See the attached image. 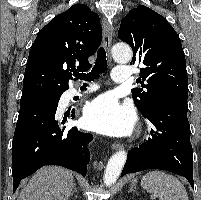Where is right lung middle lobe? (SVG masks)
I'll return each instance as SVG.
<instances>
[{
  "instance_id": "right-lung-middle-lobe-1",
  "label": "right lung middle lobe",
  "mask_w": 201,
  "mask_h": 200,
  "mask_svg": "<svg viewBox=\"0 0 201 200\" xmlns=\"http://www.w3.org/2000/svg\"><path fill=\"white\" fill-rule=\"evenodd\" d=\"M60 97L61 95H36V96L21 97L20 107L43 101H51V100L59 101Z\"/></svg>"
}]
</instances>
